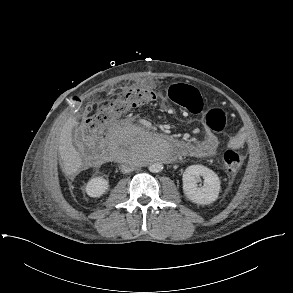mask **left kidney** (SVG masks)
Here are the masks:
<instances>
[{
  "mask_svg": "<svg viewBox=\"0 0 293 293\" xmlns=\"http://www.w3.org/2000/svg\"><path fill=\"white\" fill-rule=\"evenodd\" d=\"M203 186L198 187L200 178ZM183 191L186 197L196 204L207 205L219 195L221 183L218 175L203 165H191L183 173Z\"/></svg>",
  "mask_w": 293,
  "mask_h": 293,
  "instance_id": "1",
  "label": "left kidney"
}]
</instances>
